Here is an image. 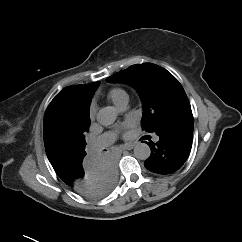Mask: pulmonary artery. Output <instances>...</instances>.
Segmentation results:
<instances>
[{
  "instance_id": "obj_1",
  "label": "pulmonary artery",
  "mask_w": 242,
  "mask_h": 242,
  "mask_svg": "<svg viewBox=\"0 0 242 242\" xmlns=\"http://www.w3.org/2000/svg\"><path fill=\"white\" fill-rule=\"evenodd\" d=\"M127 104H128V99H124L118 104L117 107L120 111H124L127 107ZM115 139H116V135L113 132H107L102 134L98 138H96L91 143V147L95 150H99L112 144L115 141ZM157 140H158V137H155V141Z\"/></svg>"
}]
</instances>
